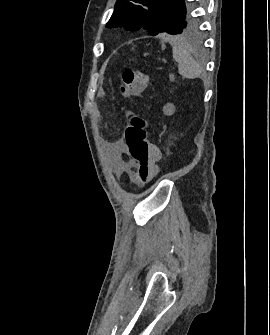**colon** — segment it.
I'll use <instances>...</instances> for the list:
<instances>
[{
    "label": "colon",
    "mask_w": 270,
    "mask_h": 335,
    "mask_svg": "<svg viewBox=\"0 0 270 335\" xmlns=\"http://www.w3.org/2000/svg\"><path fill=\"white\" fill-rule=\"evenodd\" d=\"M148 84L146 76L134 68H127L121 75V91L133 96L142 94ZM150 123L139 114H134L129 119L125 128V142L133 160L137 163L134 180L141 185L146 184L155 174V163H160V148H155V141L147 140V129Z\"/></svg>",
    "instance_id": "obj_1"
}]
</instances>
